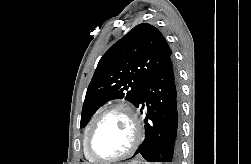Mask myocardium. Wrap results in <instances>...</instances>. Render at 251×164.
Wrapping results in <instances>:
<instances>
[{"instance_id": "1", "label": "myocardium", "mask_w": 251, "mask_h": 164, "mask_svg": "<svg viewBox=\"0 0 251 164\" xmlns=\"http://www.w3.org/2000/svg\"><path fill=\"white\" fill-rule=\"evenodd\" d=\"M117 110L123 111L129 117V119L132 123L133 134H134L132 143L125 152H123L117 156L108 157V158L97 157L96 155L93 154L92 149H91V143H92L94 133H95L99 123L101 122V120L107 114H109L113 111H117ZM142 139H143V126H142V123H141V120H140L138 114L136 113V111L134 110V108L131 105L124 103V102H118V103H115V104L108 106L107 108H105L101 113H99L96 116V118L94 119V121L91 124V127H90L88 134H87V137H86L85 151H86L87 155L95 162H98V163L114 162V161L125 159V158L129 157L130 155H132L136 151V149L139 147Z\"/></svg>"}]
</instances>
